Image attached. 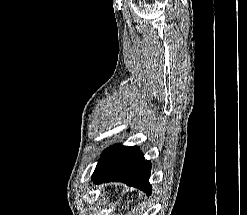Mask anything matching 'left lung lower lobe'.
<instances>
[{"instance_id": "left-lung-lower-lobe-1", "label": "left lung lower lobe", "mask_w": 247, "mask_h": 215, "mask_svg": "<svg viewBox=\"0 0 247 215\" xmlns=\"http://www.w3.org/2000/svg\"><path fill=\"white\" fill-rule=\"evenodd\" d=\"M150 163L137 147L113 145L104 150L92 179L94 183L120 181L151 193Z\"/></svg>"}]
</instances>
